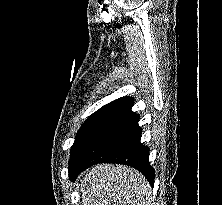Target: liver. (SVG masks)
Returning <instances> with one entry per match:
<instances>
[{"label":"liver","mask_w":222,"mask_h":205,"mask_svg":"<svg viewBox=\"0 0 222 205\" xmlns=\"http://www.w3.org/2000/svg\"><path fill=\"white\" fill-rule=\"evenodd\" d=\"M83 205H152L151 187L137 170L99 164L81 180Z\"/></svg>","instance_id":"liver-1"}]
</instances>
